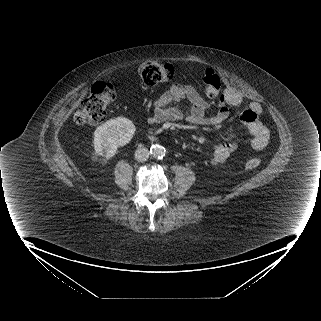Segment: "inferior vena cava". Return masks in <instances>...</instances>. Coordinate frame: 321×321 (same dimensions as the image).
Here are the masks:
<instances>
[{
    "label": "inferior vena cava",
    "instance_id": "obj_1",
    "mask_svg": "<svg viewBox=\"0 0 321 321\" xmlns=\"http://www.w3.org/2000/svg\"><path fill=\"white\" fill-rule=\"evenodd\" d=\"M150 152L147 148H138L135 151V159L139 162H144L149 158Z\"/></svg>",
    "mask_w": 321,
    "mask_h": 321
}]
</instances>
